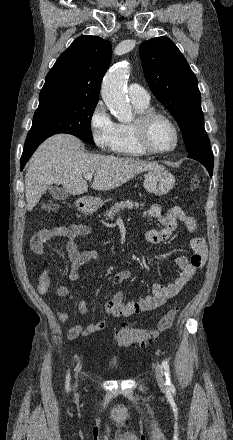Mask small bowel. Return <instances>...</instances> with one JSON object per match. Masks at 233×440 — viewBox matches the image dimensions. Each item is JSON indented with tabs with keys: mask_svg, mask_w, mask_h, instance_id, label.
Listing matches in <instances>:
<instances>
[{
	"mask_svg": "<svg viewBox=\"0 0 233 440\" xmlns=\"http://www.w3.org/2000/svg\"><path fill=\"white\" fill-rule=\"evenodd\" d=\"M145 217L157 219L161 229H149L145 232V240L150 244H160L168 240L176 230L179 223H184L187 229L196 234L190 242L193 254L190 258L179 256L176 264L180 268V275L171 284L165 285L154 283L152 285V295L138 301H124V293L116 291L105 304V313L115 318L131 317L142 314L163 306L169 299L181 293L188 282L192 279L197 270L201 269L207 257V245L205 239L198 235L199 224L191 216L186 215L179 206L168 208L166 213L162 212L161 206L153 203L144 213ZM90 233V227L84 223L56 226L44 229L36 233L31 239V249L37 254H43L45 245L54 237H64L67 239L66 251L68 253L71 267L68 274L70 281H77L80 278V268L98 259V254L92 250L79 251L77 241L80 237ZM132 273L128 269L116 272L111 279L114 286L120 285L131 277ZM51 285V277L48 269H44L39 276L38 292L41 295L47 294ZM57 294L61 297L68 295V290L61 286L57 289ZM78 309L81 314H87L88 308L84 301H79ZM56 317L60 322H67L69 314L65 311L56 310ZM107 319H102L88 324H75L67 330V337L74 340L80 336H89L97 331L105 329Z\"/></svg>",
	"mask_w": 233,
	"mask_h": 440,
	"instance_id": "obj_1",
	"label": "small bowel"
}]
</instances>
